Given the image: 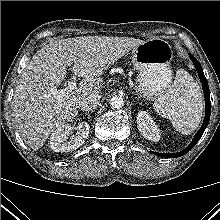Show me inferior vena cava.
I'll use <instances>...</instances> for the list:
<instances>
[{"instance_id":"1","label":"inferior vena cava","mask_w":220,"mask_h":220,"mask_svg":"<svg viewBox=\"0 0 220 220\" xmlns=\"http://www.w3.org/2000/svg\"><path fill=\"white\" fill-rule=\"evenodd\" d=\"M100 99L101 96L99 94H91L84 97L79 103V106L83 111H93L97 108Z\"/></svg>"}]
</instances>
